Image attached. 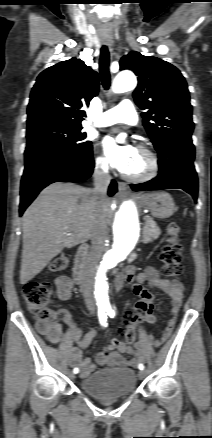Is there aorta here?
I'll use <instances>...</instances> for the list:
<instances>
[{
	"label": "aorta",
	"mask_w": 212,
	"mask_h": 438,
	"mask_svg": "<svg viewBox=\"0 0 212 438\" xmlns=\"http://www.w3.org/2000/svg\"><path fill=\"white\" fill-rule=\"evenodd\" d=\"M137 80L132 72L119 73L113 82L112 91L123 93L136 87ZM140 221L135 203L132 200L122 202L115 212L113 223V247L102 258L93 279V290L99 305H109V283L107 273L125 260L140 238Z\"/></svg>",
	"instance_id": "1"
}]
</instances>
